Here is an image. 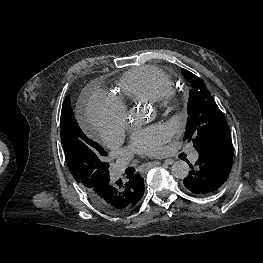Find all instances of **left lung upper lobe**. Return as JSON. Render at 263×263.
<instances>
[{"mask_svg": "<svg viewBox=\"0 0 263 263\" xmlns=\"http://www.w3.org/2000/svg\"><path fill=\"white\" fill-rule=\"evenodd\" d=\"M182 74L191 85L184 140H192L198 151L217 139L231 137L227 121L203 81L186 69Z\"/></svg>", "mask_w": 263, "mask_h": 263, "instance_id": "5c2ea615", "label": "left lung upper lobe"}]
</instances>
